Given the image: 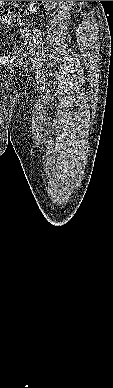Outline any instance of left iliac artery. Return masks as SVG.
I'll return each mask as SVG.
<instances>
[{
	"label": "left iliac artery",
	"mask_w": 113,
	"mask_h": 388,
	"mask_svg": "<svg viewBox=\"0 0 113 388\" xmlns=\"http://www.w3.org/2000/svg\"><path fill=\"white\" fill-rule=\"evenodd\" d=\"M33 33H34V35H33L34 46H35L36 51L39 52L43 46L42 35H41V32L37 28H34Z\"/></svg>",
	"instance_id": "obj_1"
}]
</instances>
